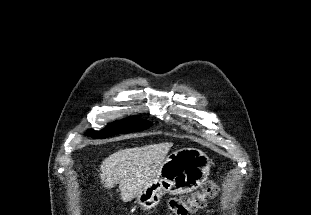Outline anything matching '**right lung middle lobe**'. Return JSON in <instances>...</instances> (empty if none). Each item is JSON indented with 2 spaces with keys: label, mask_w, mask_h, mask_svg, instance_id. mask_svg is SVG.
Segmentation results:
<instances>
[{
  "label": "right lung middle lobe",
  "mask_w": 311,
  "mask_h": 215,
  "mask_svg": "<svg viewBox=\"0 0 311 215\" xmlns=\"http://www.w3.org/2000/svg\"><path fill=\"white\" fill-rule=\"evenodd\" d=\"M152 124L148 121L141 120L137 117H131L125 120H120L112 123L107 129L99 132L89 131L88 134L92 138H107L109 136L142 131L149 128Z\"/></svg>",
  "instance_id": "obj_1"
}]
</instances>
